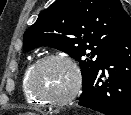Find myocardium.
I'll use <instances>...</instances> for the list:
<instances>
[{"label": "myocardium", "mask_w": 131, "mask_h": 115, "mask_svg": "<svg viewBox=\"0 0 131 115\" xmlns=\"http://www.w3.org/2000/svg\"><path fill=\"white\" fill-rule=\"evenodd\" d=\"M53 60H60V61L65 62L66 64L70 66L74 74V82H73V86L71 90L65 96L61 98H57V99L50 98L46 96L45 94H42L41 92H39L35 84L36 75L38 71L40 70V68L47 62L53 61ZM28 86L32 95L36 97L37 99H39L43 104L53 106V107H62L68 104L78 95L82 86L81 70L78 64L70 56L61 54V53L49 54L39 59L33 66L29 74Z\"/></svg>", "instance_id": "f54148a6"}]
</instances>
